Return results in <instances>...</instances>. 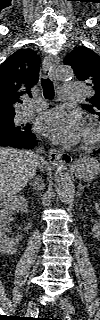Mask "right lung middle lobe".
I'll list each match as a JSON object with an SVG mask.
<instances>
[{
	"mask_svg": "<svg viewBox=\"0 0 100 320\" xmlns=\"http://www.w3.org/2000/svg\"><path fill=\"white\" fill-rule=\"evenodd\" d=\"M14 117L0 119V134L9 133L14 135H20L30 130V125L21 124L16 126L13 122Z\"/></svg>",
	"mask_w": 100,
	"mask_h": 320,
	"instance_id": "dd1d6c3e",
	"label": "right lung middle lobe"
}]
</instances>
